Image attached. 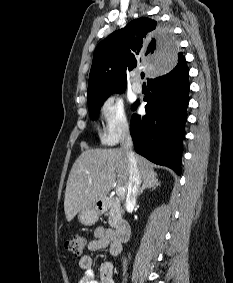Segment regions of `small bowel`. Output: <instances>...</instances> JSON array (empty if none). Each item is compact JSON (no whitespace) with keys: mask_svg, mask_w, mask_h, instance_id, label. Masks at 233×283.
<instances>
[{"mask_svg":"<svg viewBox=\"0 0 233 283\" xmlns=\"http://www.w3.org/2000/svg\"><path fill=\"white\" fill-rule=\"evenodd\" d=\"M87 248L90 251H100L109 248L112 255H117L120 252L115 246L114 232L103 227H99L94 231V239L88 243ZM79 266L83 270V274L79 278L78 283H115L111 262L102 264L98 280L93 270V259L91 256L85 255L81 257Z\"/></svg>","mask_w":233,"mask_h":283,"instance_id":"1","label":"small bowel"}]
</instances>
